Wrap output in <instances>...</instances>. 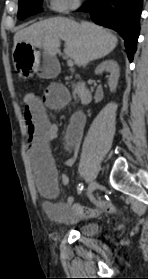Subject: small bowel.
Listing matches in <instances>:
<instances>
[{
    "instance_id": "1",
    "label": "small bowel",
    "mask_w": 148,
    "mask_h": 279,
    "mask_svg": "<svg viewBox=\"0 0 148 279\" xmlns=\"http://www.w3.org/2000/svg\"><path fill=\"white\" fill-rule=\"evenodd\" d=\"M68 101L67 89L61 84H51L39 97H36L33 103L25 104L24 111L29 134L28 152L35 173L36 187L47 198L44 203L45 211L59 222L93 218L114 209L112 203L104 200L95 201L93 208L81 207L75 203L74 197H69L63 203L51 201L57 192L58 172L49 149V143L55 139L57 131L46 110L60 109L66 106ZM85 124L86 118L83 113L77 112L71 117L66 133V143L70 156L64 163L65 167L71 166L77 157ZM60 180L64 185L70 183L65 172L61 173Z\"/></svg>"
}]
</instances>
